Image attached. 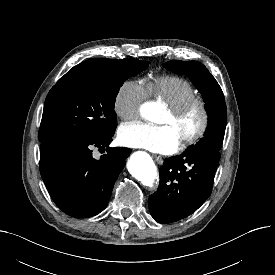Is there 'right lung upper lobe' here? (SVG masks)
Here are the masks:
<instances>
[{
  "label": "right lung upper lobe",
  "instance_id": "cb5924a9",
  "mask_svg": "<svg viewBox=\"0 0 275 275\" xmlns=\"http://www.w3.org/2000/svg\"><path fill=\"white\" fill-rule=\"evenodd\" d=\"M87 61H94V62H98V63H101V64H106V63H109L111 61V59L94 58V59H90V60H87Z\"/></svg>",
  "mask_w": 275,
  "mask_h": 275
}]
</instances>
